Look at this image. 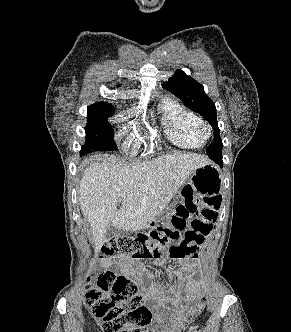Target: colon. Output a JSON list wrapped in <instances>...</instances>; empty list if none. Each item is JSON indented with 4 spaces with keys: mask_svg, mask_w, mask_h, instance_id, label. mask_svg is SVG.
<instances>
[{
    "mask_svg": "<svg viewBox=\"0 0 291 332\" xmlns=\"http://www.w3.org/2000/svg\"><path fill=\"white\" fill-rule=\"evenodd\" d=\"M219 206L217 196H204L200 200L187 190L184 203L169 216L167 224L144 234L112 237L104 244L103 253H124L140 261L164 254L174 260L197 258L198 246L211 232ZM84 302L95 317L103 319L104 332H147L151 311L138 293L137 284L126 276L102 273L96 287H87ZM203 307L198 302L181 309L167 331L183 332L188 321Z\"/></svg>",
    "mask_w": 291,
    "mask_h": 332,
    "instance_id": "colon-1",
    "label": "colon"
}]
</instances>
